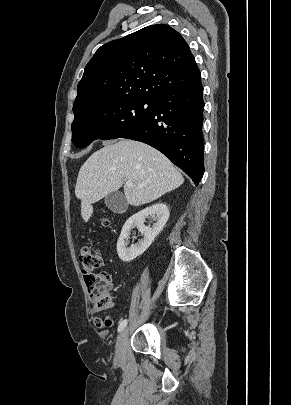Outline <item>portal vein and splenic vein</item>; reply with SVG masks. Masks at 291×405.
<instances>
[{"label": "portal vein and splenic vein", "instance_id": "18ae733b", "mask_svg": "<svg viewBox=\"0 0 291 405\" xmlns=\"http://www.w3.org/2000/svg\"><path fill=\"white\" fill-rule=\"evenodd\" d=\"M125 186H126V187H133L134 184L132 183V181L127 180V181H125Z\"/></svg>", "mask_w": 291, "mask_h": 405}]
</instances>
